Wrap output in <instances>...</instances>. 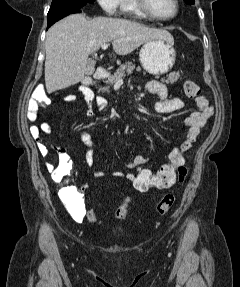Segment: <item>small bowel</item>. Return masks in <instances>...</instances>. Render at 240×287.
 Instances as JSON below:
<instances>
[{
    "mask_svg": "<svg viewBox=\"0 0 240 287\" xmlns=\"http://www.w3.org/2000/svg\"><path fill=\"white\" fill-rule=\"evenodd\" d=\"M146 89L149 93L154 94L158 97V101L154 105L155 112L158 114H169L181 109L184 106V101L179 97H169L167 87L159 81H149L146 84ZM81 92L84 95V98L89 106L88 114H92V105L95 101L97 107L100 110H104L108 103L107 100L102 96L94 97L93 92L86 88L82 87ZM77 100L76 95L68 94L64 97L65 102L73 103ZM196 109L189 114L185 119V128H186V139L179 146V149L182 152L188 151L193 143L196 141L201 129L206 124L208 119L213 115V108L209 106L208 100L205 96L195 98ZM39 104L34 100H31L28 104L27 109V118L34 122L37 118ZM53 130V123L51 121L43 122L40 127L32 126L30 128V133L35 139L38 145L39 152L42 156H47L49 154L48 145L41 139L40 132L42 131L45 134H50ZM80 137L82 142L86 147L85 151V162L88 167H94V144L90 136L86 132H81ZM56 151L58 158L63 159L71 163L70 157L65 147H53ZM148 163V158L144 154H138L133 156L129 161L126 162L125 166L128 169H135L138 166H145ZM94 177H102L104 175L103 171L93 169ZM112 175L116 178H126L131 182L132 173H125L123 171H114ZM84 189L86 188L85 185ZM80 188L77 190L75 188H69L62 194L63 204L65 205L68 213L73 218L74 221L82 223L86 217V207L84 203V198Z\"/></svg>",
    "mask_w": 240,
    "mask_h": 287,
    "instance_id": "1",
    "label": "small bowel"
}]
</instances>
